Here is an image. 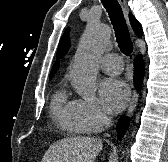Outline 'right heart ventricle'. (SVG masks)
I'll list each match as a JSON object with an SVG mask.
<instances>
[{
  "mask_svg": "<svg viewBox=\"0 0 168 162\" xmlns=\"http://www.w3.org/2000/svg\"><path fill=\"white\" fill-rule=\"evenodd\" d=\"M74 100H70L63 87L55 93L51 110L57 123L74 135H82L88 131L77 121L74 115Z\"/></svg>",
  "mask_w": 168,
  "mask_h": 162,
  "instance_id": "1",
  "label": "right heart ventricle"
}]
</instances>
